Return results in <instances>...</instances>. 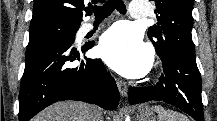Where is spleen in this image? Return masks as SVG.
Here are the masks:
<instances>
[{"label": "spleen", "instance_id": "3e777b00", "mask_svg": "<svg viewBox=\"0 0 217 121\" xmlns=\"http://www.w3.org/2000/svg\"><path fill=\"white\" fill-rule=\"evenodd\" d=\"M153 109L156 113H158L159 121H188L184 115L175 111L165 110L161 106H155Z\"/></svg>", "mask_w": 217, "mask_h": 121}]
</instances>
